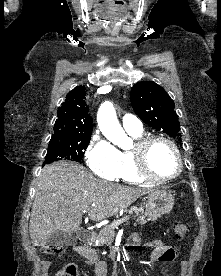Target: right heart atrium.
<instances>
[{"label":"right heart atrium","instance_id":"right-heart-atrium-1","mask_svg":"<svg viewBox=\"0 0 221 276\" xmlns=\"http://www.w3.org/2000/svg\"><path fill=\"white\" fill-rule=\"evenodd\" d=\"M86 161L90 170L99 177L117 179L121 165L120 151L103 137L94 136L86 151Z\"/></svg>","mask_w":221,"mask_h":276}]
</instances>
